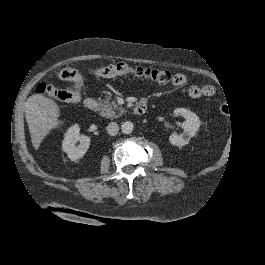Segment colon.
<instances>
[{
	"label": "colon",
	"instance_id": "colon-1",
	"mask_svg": "<svg viewBox=\"0 0 265 265\" xmlns=\"http://www.w3.org/2000/svg\"><path fill=\"white\" fill-rule=\"evenodd\" d=\"M91 73L98 77L112 78L121 75H133L139 79L157 82L160 84L168 83L171 80V74L168 71L144 68V67H132L127 63H117L101 68H96ZM57 77L64 81L72 83L71 88H58L50 84L38 85L36 92L38 94H46L64 102H77L81 98V90L83 87V77L75 69L66 67L57 72ZM222 112H225L223 107Z\"/></svg>",
	"mask_w": 265,
	"mask_h": 265
}]
</instances>
